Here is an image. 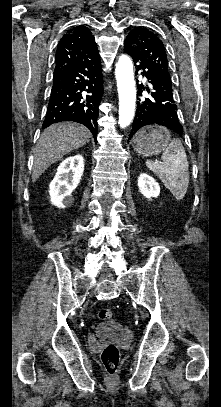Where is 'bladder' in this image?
I'll use <instances>...</instances> for the list:
<instances>
[{"mask_svg":"<svg viewBox=\"0 0 221 407\" xmlns=\"http://www.w3.org/2000/svg\"><path fill=\"white\" fill-rule=\"evenodd\" d=\"M123 332V325L118 320H110L104 324H100L96 328V334L116 339Z\"/></svg>","mask_w":221,"mask_h":407,"instance_id":"obj_1","label":"bladder"}]
</instances>
